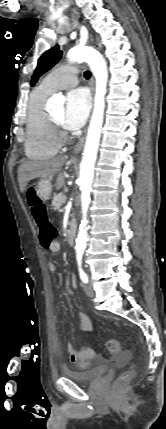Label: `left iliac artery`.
Returning <instances> with one entry per match:
<instances>
[{
  "mask_svg": "<svg viewBox=\"0 0 166 429\" xmlns=\"http://www.w3.org/2000/svg\"><path fill=\"white\" fill-rule=\"evenodd\" d=\"M81 261H82V256L77 255V264H78L80 279L82 280L83 283H88V276L86 275V273L82 269V266H81L82 262Z\"/></svg>",
  "mask_w": 166,
  "mask_h": 429,
  "instance_id": "obj_1",
  "label": "left iliac artery"
}]
</instances>
